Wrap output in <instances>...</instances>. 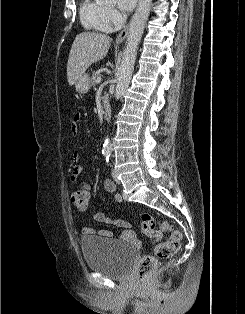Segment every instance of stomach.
<instances>
[{
	"mask_svg": "<svg viewBox=\"0 0 245 314\" xmlns=\"http://www.w3.org/2000/svg\"><path fill=\"white\" fill-rule=\"evenodd\" d=\"M89 75L83 73L75 82V89L80 94H85L90 89Z\"/></svg>",
	"mask_w": 245,
	"mask_h": 314,
	"instance_id": "0dacf381",
	"label": "stomach"
}]
</instances>
